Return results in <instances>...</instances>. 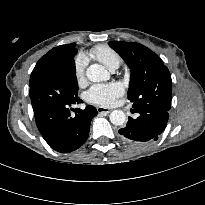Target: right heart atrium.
I'll return each instance as SVG.
<instances>
[{"label": "right heart atrium", "mask_w": 205, "mask_h": 205, "mask_svg": "<svg viewBox=\"0 0 205 205\" xmlns=\"http://www.w3.org/2000/svg\"><path fill=\"white\" fill-rule=\"evenodd\" d=\"M87 66V58L83 54H79L74 63V74L78 84L85 82V71Z\"/></svg>", "instance_id": "d8ad5b80"}]
</instances>
